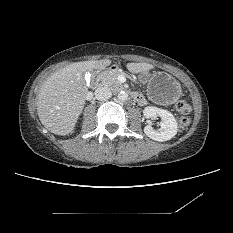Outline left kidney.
Here are the masks:
<instances>
[{
    "label": "left kidney",
    "instance_id": "5707ae66",
    "mask_svg": "<svg viewBox=\"0 0 233 233\" xmlns=\"http://www.w3.org/2000/svg\"><path fill=\"white\" fill-rule=\"evenodd\" d=\"M145 118H161L160 128L154 129L150 124L144 127V133L151 139L159 142L172 139L177 134V122L173 114L167 110L153 106L145 107L143 110Z\"/></svg>",
    "mask_w": 233,
    "mask_h": 233
}]
</instances>
